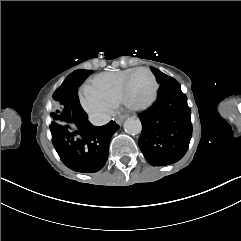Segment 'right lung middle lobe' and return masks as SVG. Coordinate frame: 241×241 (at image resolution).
<instances>
[{
    "label": "right lung middle lobe",
    "instance_id": "dd1d6c3e",
    "mask_svg": "<svg viewBox=\"0 0 241 241\" xmlns=\"http://www.w3.org/2000/svg\"><path fill=\"white\" fill-rule=\"evenodd\" d=\"M93 71L92 70H77L73 72V77H79L84 81ZM67 79L56 90L53 95L51 103V118L52 123L50 129L69 127L74 122L72 120L71 112L65 100V92L67 91Z\"/></svg>",
    "mask_w": 241,
    "mask_h": 241
}]
</instances>
